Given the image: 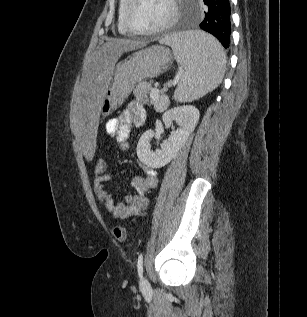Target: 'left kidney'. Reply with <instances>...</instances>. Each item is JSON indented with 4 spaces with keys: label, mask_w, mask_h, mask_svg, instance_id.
Masks as SVG:
<instances>
[{
    "label": "left kidney",
    "mask_w": 307,
    "mask_h": 317,
    "mask_svg": "<svg viewBox=\"0 0 307 317\" xmlns=\"http://www.w3.org/2000/svg\"><path fill=\"white\" fill-rule=\"evenodd\" d=\"M199 116V110L190 105L174 107L165 111L162 115L164 125L170 126L173 122H176L178 124L177 129L170 134L167 140L163 141L161 149L156 151H151L149 143L154 137V131L147 130L144 132L136 148L139 160L151 168H160L167 165L194 131Z\"/></svg>",
    "instance_id": "left-kidney-1"
}]
</instances>
